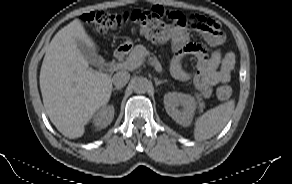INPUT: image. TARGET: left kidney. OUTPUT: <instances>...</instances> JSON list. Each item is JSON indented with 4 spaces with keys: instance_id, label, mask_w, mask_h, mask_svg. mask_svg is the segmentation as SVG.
Segmentation results:
<instances>
[{
    "instance_id": "obj_1",
    "label": "left kidney",
    "mask_w": 292,
    "mask_h": 184,
    "mask_svg": "<svg viewBox=\"0 0 292 184\" xmlns=\"http://www.w3.org/2000/svg\"><path fill=\"white\" fill-rule=\"evenodd\" d=\"M164 105L167 114L178 124L182 126L191 124L196 111V102L191 95L169 92L164 95Z\"/></svg>"
}]
</instances>
